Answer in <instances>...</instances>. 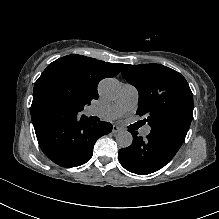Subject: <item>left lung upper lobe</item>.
<instances>
[{
  "label": "left lung upper lobe",
  "instance_id": "5c2ea615",
  "mask_svg": "<svg viewBox=\"0 0 219 219\" xmlns=\"http://www.w3.org/2000/svg\"><path fill=\"white\" fill-rule=\"evenodd\" d=\"M139 93V116L152 134L181 147L193 118V94L185 78L160 64H125L121 71Z\"/></svg>",
  "mask_w": 219,
  "mask_h": 219
}]
</instances>
